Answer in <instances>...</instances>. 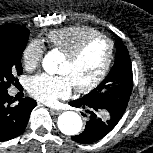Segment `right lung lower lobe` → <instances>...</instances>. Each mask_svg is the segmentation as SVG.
Listing matches in <instances>:
<instances>
[{
    "instance_id": "obj_1",
    "label": "right lung lower lobe",
    "mask_w": 153,
    "mask_h": 153,
    "mask_svg": "<svg viewBox=\"0 0 153 153\" xmlns=\"http://www.w3.org/2000/svg\"><path fill=\"white\" fill-rule=\"evenodd\" d=\"M15 99L8 91H0V142L19 136L27 126L36 101L26 97L14 104Z\"/></svg>"
}]
</instances>
